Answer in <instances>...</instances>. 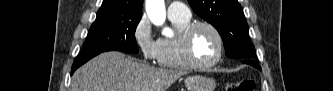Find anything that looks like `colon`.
<instances>
[{
  "label": "colon",
  "mask_w": 333,
  "mask_h": 91,
  "mask_svg": "<svg viewBox=\"0 0 333 91\" xmlns=\"http://www.w3.org/2000/svg\"><path fill=\"white\" fill-rule=\"evenodd\" d=\"M255 83L251 79H243L230 84L227 91H252L254 90Z\"/></svg>",
  "instance_id": "1"
}]
</instances>
